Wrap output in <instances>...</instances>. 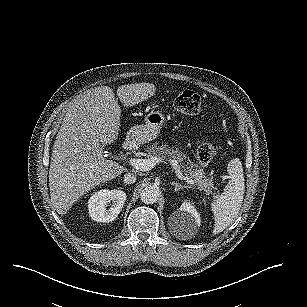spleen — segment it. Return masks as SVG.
Masks as SVG:
<instances>
[{"instance_id":"obj_1","label":"spleen","mask_w":307,"mask_h":307,"mask_svg":"<svg viewBox=\"0 0 307 307\" xmlns=\"http://www.w3.org/2000/svg\"><path fill=\"white\" fill-rule=\"evenodd\" d=\"M229 182L222 194L215 197L211 203L214 214L213 234L225 230L237 217L244 198L245 182L242 163L239 158L230 160L227 166Z\"/></svg>"}]
</instances>
